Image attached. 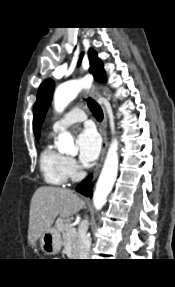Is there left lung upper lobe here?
<instances>
[{"label": "left lung upper lobe", "mask_w": 175, "mask_h": 287, "mask_svg": "<svg viewBox=\"0 0 175 287\" xmlns=\"http://www.w3.org/2000/svg\"><path fill=\"white\" fill-rule=\"evenodd\" d=\"M83 54L81 55V59ZM88 57L90 61V73L93 74L94 79L99 82L106 81V74L103 69L102 61L98 58L97 53L90 49L88 52ZM79 60L78 65L81 62ZM54 90V82L50 79L46 80L41 84L37 94V100L34 105V120H33V130L36 139L40 137L41 125L44 121L45 114L52 100V94Z\"/></svg>", "instance_id": "1"}]
</instances>
